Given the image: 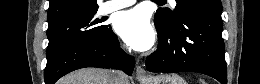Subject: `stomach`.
Listing matches in <instances>:
<instances>
[{"label": "stomach", "instance_id": "obj_1", "mask_svg": "<svg viewBox=\"0 0 260 84\" xmlns=\"http://www.w3.org/2000/svg\"><path fill=\"white\" fill-rule=\"evenodd\" d=\"M146 84H187L178 74H161L153 77Z\"/></svg>", "mask_w": 260, "mask_h": 84}]
</instances>
